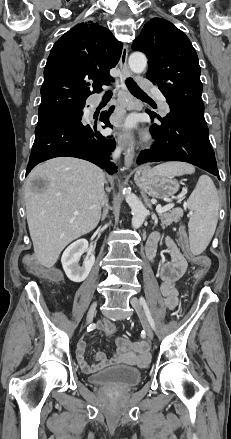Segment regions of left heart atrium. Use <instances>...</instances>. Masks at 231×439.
<instances>
[{"mask_svg": "<svg viewBox=\"0 0 231 439\" xmlns=\"http://www.w3.org/2000/svg\"><path fill=\"white\" fill-rule=\"evenodd\" d=\"M133 125H134V120L132 118H128L124 123L125 127H132Z\"/></svg>", "mask_w": 231, "mask_h": 439, "instance_id": "39dd6f15", "label": "left heart atrium"}]
</instances>
